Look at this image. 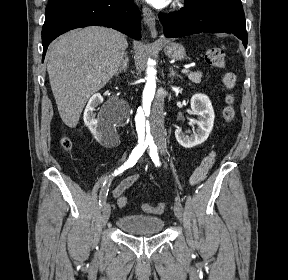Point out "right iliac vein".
Returning <instances> with one entry per match:
<instances>
[{
  "mask_svg": "<svg viewBox=\"0 0 288 280\" xmlns=\"http://www.w3.org/2000/svg\"><path fill=\"white\" fill-rule=\"evenodd\" d=\"M110 213H111L110 204L105 202V204L103 206V210H102V223H103V225H106V223L108 222L109 217H110Z\"/></svg>",
  "mask_w": 288,
  "mask_h": 280,
  "instance_id": "right-iliac-vein-1",
  "label": "right iliac vein"
}]
</instances>
